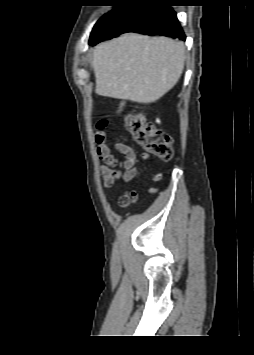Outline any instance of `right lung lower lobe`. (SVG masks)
<instances>
[{"mask_svg":"<svg viewBox=\"0 0 254 355\" xmlns=\"http://www.w3.org/2000/svg\"><path fill=\"white\" fill-rule=\"evenodd\" d=\"M170 4L168 0H141L122 4L114 10L99 35L89 44L94 46L126 32L185 40V34Z\"/></svg>","mask_w":254,"mask_h":355,"instance_id":"98d812e1","label":"right lung lower lobe"}]
</instances>
